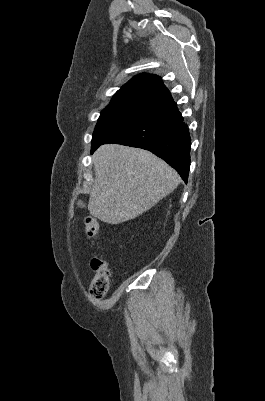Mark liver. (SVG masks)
I'll return each instance as SVG.
<instances>
[{"instance_id": "6515ba94", "label": "liver", "mask_w": 265, "mask_h": 401, "mask_svg": "<svg viewBox=\"0 0 265 401\" xmlns=\"http://www.w3.org/2000/svg\"><path fill=\"white\" fill-rule=\"evenodd\" d=\"M92 160L95 180L88 211L109 225L149 211L180 182L174 168L143 148L102 144Z\"/></svg>"}]
</instances>
